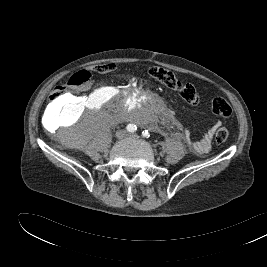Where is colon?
<instances>
[{
    "instance_id": "obj_1",
    "label": "colon",
    "mask_w": 267,
    "mask_h": 267,
    "mask_svg": "<svg viewBox=\"0 0 267 267\" xmlns=\"http://www.w3.org/2000/svg\"><path fill=\"white\" fill-rule=\"evenodd\" d=\"M115 65L111 63L97 65L94 70L97 72H110L114 70ZM148 76L162 84L163 86L175 90L179 93L180 97L190 105H196L199 102V94L195 87L189 83L181 82L175 74L163 67L153 66L147 70ZM91 80V73L87 70H81L73 74L66 85L58 86L50 96V102L52 104H58L62 100H70V89L81 88L87 85ZM211 108L214 114L229 118L232 115V107L230 103L222 98L216 97L212 100ZM229 136L228 129L224 126L219 127L216 131L215 139L218 144L224 143Z\"/></svg>"
}]
</instances>
